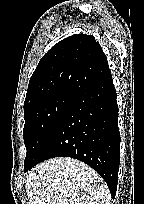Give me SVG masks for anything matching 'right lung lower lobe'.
Listing matches in <instances>:
<instances>
[{
  "label": "right lung lower lobe",
  "instance_id": "obj_1",
  "mask_svg": "<svg viewBox=\"0 0 144 204\" xmlns=\"http://www.w3.org/2000/svg\"><path fill=\"white\" fill-rule=\"evenodd\" d=\"M59 156L76 158L91 166L115 197L120 133L112 76L75 95L27 170Z\"/></svg>",
  "mask_w": 144,
  "mask_h": 204
}]
</instances>
